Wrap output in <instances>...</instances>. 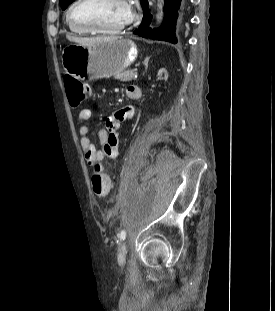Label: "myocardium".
<instances>
[{"mask_svg": "<svg viewBox=\"0 0 275 311\" xmlns=\"http://www.w3.org/2000/svg\"><path fill=\"white\" fill-rule=\"evenodd\" d=\"M92 0H76L68 9L67 12V20L70 23V25L77 27L79 29H82L83 31L87 33H92V34H101V35H115L120 32H122L124 29L127 28L129 25V21L124 23L123 25L114 28V29H101V28H96L93 27L89 24L79 22L75 19L74 17V12L76 8H78L80 5L91 2ZM125 1V0H124ZM126 2V1H125Z\"/></svg>", "mask_w": 275, "mask_h": 311, "instance_id": "obj_1", "label": "myocardium"}]
</instances>
